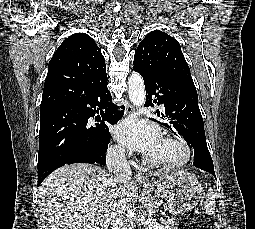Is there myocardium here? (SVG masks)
I'll use <instances>...</instances> for the list:
<instances>
[{
  "label": "myocardium",
  "mask_w": 255,
  "mask_h": 229,
  "mask_svg": "<svg viewBox=\"0 0 255 229\" xmlns=\"http://www.w3.org/2000/svg\"><path fill=\"white\" fill-rule=\"evenodd\" d=\"M162 139L173 144L180 150L181 152L180 158L176 160H165L154 158L152 156H146L145 161L148 164L165 169H176L186 165L191 160L192 157L191 149L184 140L177 136L169 134L164 135Z\"/></svg>",
  "instance_id": "1"
}]
</instances>
